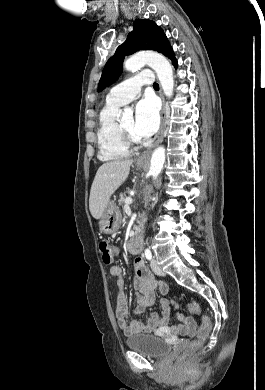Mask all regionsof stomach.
Listing matches in <instances>:
<instances>
[{"mask_svg":"<svg viewBox=\"0 0 265 390\" xmlns=\"http://www.w3.org/2000/svg\"><path fill=\"white\" fill-rule=\"evenodd\" d=\"M138 168H143L144 164L137 163ZM121 224V212L114 201H109L107 207L99 220L100 231L104 234L115 233Z\"/></svg>","mask_w":265,"mask_h":390,"instance_id":"obj_1","label":"stomach"}]
</instances>
